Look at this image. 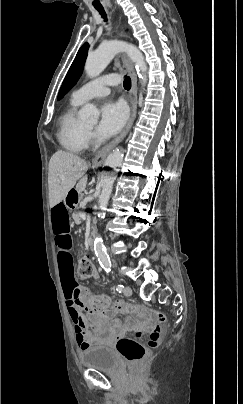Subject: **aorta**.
<instances>
[{"label":"aorta","mask_w":243,"mask_h":404,"mask_svg":"<svg viewBox=\"0 0 243 404\" xmlns=\"http://www.w3.org/2000/svg\"><path fill=\"white\" fill-rule=\"evenodd\" d=\"M122 52L127 54L129 60L133 62L137 74H140L139 78H141L142 86H146L147 66L144 62L143 54H141L140 50H138L136 46H133V44L120 42V40L103 42L95 52L89 54L84 66L87 76H89V78H96V76H99V74L107 68L111 60L115 58L116 54H122ZM78 116L80 120L86 122V124H97L99 120V112L93 104L83 106L82 110H79ZM123 158L124 154L122 150L116 148V150H113L112 154H109L101 168L100 178L102 190L98 198L97 210V217L99 219H104L106 217V209L113 190V184L116 181L115 173L116 170L119 169V166H121ZM94 252L103 268H105V270H110V260L107 254H105L103 240L100 236H97L94 240Z\"/></svg>","instance_id":"1"}]
</instances>
